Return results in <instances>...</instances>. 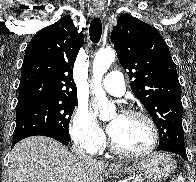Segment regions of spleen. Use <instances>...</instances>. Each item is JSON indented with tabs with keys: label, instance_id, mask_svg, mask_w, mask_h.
Masks as SVG:
<instances>
[{
	"label": "spleen",
	"instance_id": "1",
	"mask_svg": "<svg viewBox=\"0 0 196 182\" xmlns=\"http://www.w3.org/2000/svg\"><path fill=\"white\" fill-rule=\"evenodd\" d=\"M174 182H186L183 177H178Z\"/></svg>",
	"mask_w": 196,
	"mask_h": 182
}]
</instances>
